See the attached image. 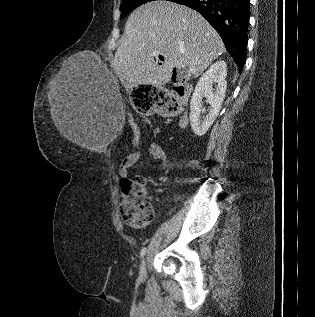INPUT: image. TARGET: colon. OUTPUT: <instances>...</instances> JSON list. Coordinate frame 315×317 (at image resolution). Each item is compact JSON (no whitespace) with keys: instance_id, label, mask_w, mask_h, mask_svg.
<instances>
[{"instance_id":"5ec220e1","label":"colon","mask_w":315,"mask_h":317,"mask_svg":"<svg viewBox=\"0 0 315 317\" xmlns=\"http://www.w3.org/2000/svg\"><path fill=\"white\" fill-rule=\"evenodd\" d=\"M160 112L164 115H174L181 109L183 91L169 92L160 90L156 95ZM134 139L141 138V129L135 120L130 122ZM122 201L120 214L123 221L133 227L142 228L150 224L154 218L152 204L147 200L145 190L140 179H124L121 181Z\"/></svg>"}]
</instances>
